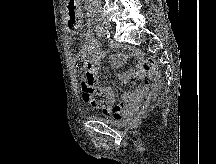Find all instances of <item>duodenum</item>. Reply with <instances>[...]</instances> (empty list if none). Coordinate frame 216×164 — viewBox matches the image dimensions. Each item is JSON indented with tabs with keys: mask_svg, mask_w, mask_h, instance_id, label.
Returning a JSON list of instances; mask_svg holds the SVG:
<instances>
[{
	"mask_svg": "<svg viewBox=\"0 0 216 164\" xmlns=\"http://www.w3.org/2000/svg\"><path fill=\"white\" fill-rule=\"evenodd\" d=\"M68 9H76V0H69L68 1ZM88 12L90 14L89 16V21L93 22L94 21V12H95V4L93 2L88 3Z\"/></svg>",
	"mask_w": 216,
	"mask_h": 164,
	"instance_id": "1",
	"label": "duodenum"
}]
</instances>
